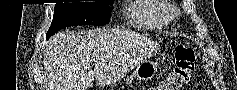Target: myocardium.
Segmentation results:
<instances>
[{"label":"myocardium","instance_id":"1","mask_svg":"<svg viewBox=\"0 0 237 90\" xmlns=\"http://www.w3.org/2000/svg\"><path fill=\"white\" fill-rule=\"evenodd\" d=\"M175 20V17H173V20L172 21H174Z\"/></svg>","mask_w":237,"mask_h":90}]
</instances>
